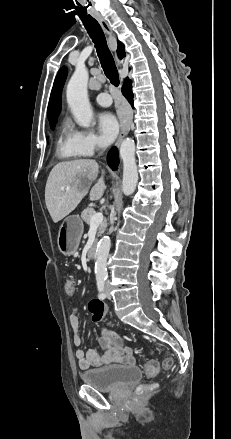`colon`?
Masks as SVG:
<instances>
[{
	"label": "colon",
	"mask_w": 231,
	"mask_h": 439,
	"mask_svg": "<svg viewBox=\"0 0 231 439\" xmlns=\"http://www.w3.org/2000/svg\"><path fill=\"white\" fill-rule=\"evenodd\" d=\"M64 288H65V292L68 296L75 295L76 286H75V283L73 280H67ZM88 308H89V311L91 313L93 321L100 322L105 318L106 307L102 301L97 300V299L92 300L89 302ZM173 365H174L173 358L167 357L164 359L163 366L165 369H171L173 367ZM158 370H159V367H158L157 362H155V361L148 362L143 368V372H144L145 376H147L149 378L156 376V374L158 373ZM149 389H150V386L141 384L136 388V392H137V394H142Z\"/></svg>",
	"instance_id": "1"
}]
</instances>
